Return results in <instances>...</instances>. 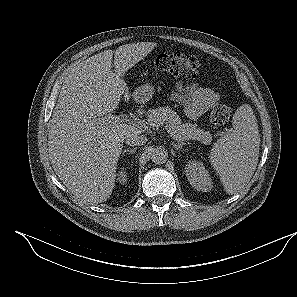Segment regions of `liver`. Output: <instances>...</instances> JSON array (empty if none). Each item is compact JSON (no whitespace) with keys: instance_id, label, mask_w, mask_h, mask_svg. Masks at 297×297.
Masks as SVG:
<instances>
[{"instance_id":"6515ba94","label":"liver","mask_w":297,"mask_h":297,"mask_svg":"<svg viewBox=\"0 0 297 297\" xmlns=\"http://www.w3.org/2000/svg\"><path fill=\"white\" fill-rule=\"evenodd\" d=\"M154 42H138L104 50L72 68L65 77L48 133L52 167L74 197L83 203L106 201L113 191L116 169L128 133L126 123L100 124L130 93L123 74L146 57ZM114 55V72L111 70Z\"/></svg>"}]
</instances>
